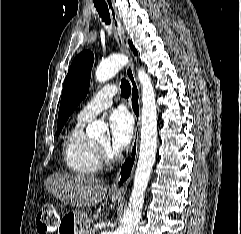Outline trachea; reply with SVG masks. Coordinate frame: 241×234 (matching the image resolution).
Masks as SVG:
<instances>
[{
	"mask_svg": "<svg viewBox=\"0 0 241 234\" xmlns=\"http://www.w3.org/2000/svg\"><path fill=\"white\" fill-rule=\"evenodd\" d=\"M102 21L107 25L111 23L108 6L104 0H93ZM131 92L130 83L126 79L121 80V93L124 97H129Z\"/></svg>",
	"mask_w": 241,
	"mask_h": 234,
	"instance_id": "trachea-1",
	"label": "trachea"
}]
</instances>
